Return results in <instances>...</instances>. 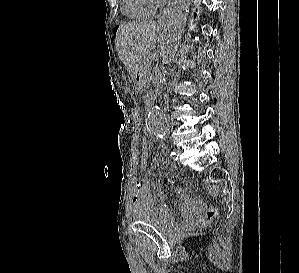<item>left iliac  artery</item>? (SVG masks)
<instances>
[{
  "label": "left iliac artery",
  "instance_id": "44dca946",
  "mask_svg": "<svg viewBox=\"0 0 299 273\" xmlns=\"http://www.w3.org/2000/svg\"><path fill=\"white\" fill-rule=\"evenodd\" d=\"M171 157L174 159V160H177L178 159V155H176L175 152H171Z\"/></svg>",
  "mask_w": 299,
  "mask_h": 273
}]
</instances>
